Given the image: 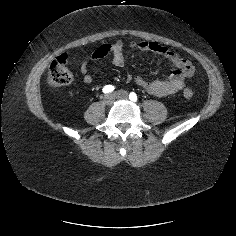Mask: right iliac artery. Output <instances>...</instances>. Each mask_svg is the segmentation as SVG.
<instances>
[{
	"label": "right iliac artery",
	"instance_id": "82829eb1",
	"mask_svg": "<svg viewBox=\"0 0 236 236\" xmlns=\"http://www.w3.org/2000/svg\"><path fill=\"white\" fill-rule=\"evenodd\" d=\"M114 89H115L114 86H112V85H106V86L102 89V91H103V93L106 94V93L112 92Z\"/></svg>",
	"mask_w": 236,
	"mask_h": 236
}]
</instances>
